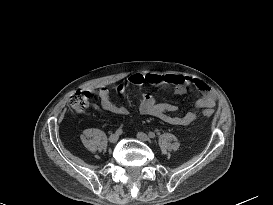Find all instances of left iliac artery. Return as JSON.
Returning <instances> with one entry per match:
<instances>
[{
  "label": "left iliac artery",
  "instance_id": "obj_1",
  "mask_svg": "<svg viewBox=\"0 0 273 205\" xmlns=\"http://www.w3.org/2000/svg\"><path fill=\"white\" fill-rule=\"evenodd\" d=\"M148 135H149V137L152 138V139L156 137V135H155L154 132H149Z\"/></svg>",
  "mask_w": 273,
  "mask_h": 205
}]
</instances>
